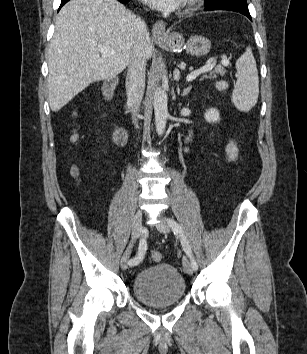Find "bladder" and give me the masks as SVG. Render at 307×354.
I'll use <instances>...</instances> for the list:
<instances>
[{
  "instance_id": "bladder-1",
  "label": "bladder",
  "mask_w": 307,
  "mask_h": 354,
  "mask_svg": "<svg viewBox=\"0 0 307 354\" xmlns=\"http://www.w3.org/2000/svg\"><path fill=\"white\" fill-rule=\"evenodd\" d=\"M132 289L140 302L160 308L181 301L186 293V283L174 266L159 263L138 272L133 280Z\"/></svg>"
}]
</instances>
